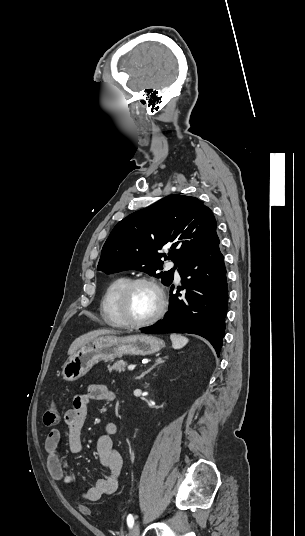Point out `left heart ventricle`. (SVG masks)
Returning a JSON list of instances; mask_svg holds the SVG:
<instances>
[{
  "label": "left heart ventricle",
  "instance_id": "b2bd125f",
  "mask_svg": "<svg viewBox=\"0 0 305 536\" xmlns=\"http://www.w3.org/2000/svg\"><path fill=\"white\" fill-rule=\"evenodd\" d=\"M157 291L148 284H140L132 289L126 302L127 317L131 321L142 320L153 314L159 307Z\"/></svg>",
  "mask_w": 305,
  "mask_h": 536
}]
</instances>
